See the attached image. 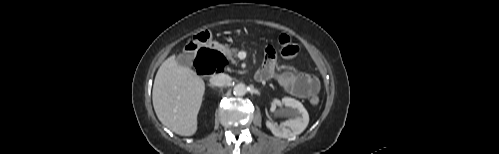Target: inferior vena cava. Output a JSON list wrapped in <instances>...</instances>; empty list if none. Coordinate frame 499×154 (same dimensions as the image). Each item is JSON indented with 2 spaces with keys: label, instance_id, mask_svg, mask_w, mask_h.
Wrapping results in <instances>:
<instances>
[{
  "label": "inferior vena cava",
  "instance_id": "1",
  "mask_svg": "<svg viewBox=\"0 0 499 154\" xmlns=\"http://www.w3.org/2000/svg\"><path fill=\"white\" fill-rule=\"evenodd\" d=\"M231 82V77L226 75V74H223V73H220V74H216V75H213L211 78H210V83L214 86H218V87H223V86H226L228 85L229 83Z\"/></svg>",
  "mask_w": 499,
  "mask_h": 154
}]
</instances>
